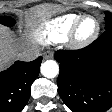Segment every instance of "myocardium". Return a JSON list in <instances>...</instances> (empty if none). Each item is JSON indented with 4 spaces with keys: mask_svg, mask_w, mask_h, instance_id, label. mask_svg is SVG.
<instances>
[{
    "mask_svg": "<svg viewBox=\"0 0 112 112\" xmlns=\"http://www.w3.org/2000/svg\"><path fill=\"white\" fill-rule=\"evenodd\" d=\"M86 19H93L96 23V28H95L94 32L89 37L80 38L78 32H79L80 26ZM100 28H101L100 22L98 21V19L96 17H94L92 15H82L76 21V23L73 25V27L67 37L68 45L72 49H83V48L91 45L98 38V36L100 34Z\"/></svg>",
    "mask_w": 112,
    "mask_h": 112,
    "instance_id": "1",
    "label": "myocardium"
}]
</instances>
